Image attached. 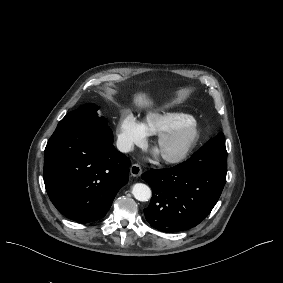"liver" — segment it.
<instances>
[{
  "instance_id": "liver-1",
  "label": "liver",
  "mask_w": 283,
  "mask_h": 283,
  "mask_svg": "<svg viewBox=\"0 0 283 283\" xmlns=\"http://www.w3.org/2000/svg\"><path fill=\"white\" fill-rule=\"evenodd\" d=\"M130 106L136 111H151L157 108V102L149 90H138L131 97Z\"/></svg>"
}]
</instances>
